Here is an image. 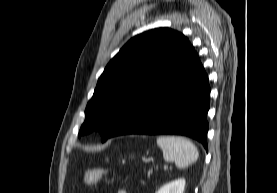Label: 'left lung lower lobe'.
I'll list each match as a JSON object with an SVG mask.
<instances>
[{
	"mask_svg": "<svg viewBox=\"0 0 277 193\" xmlns=\"http://www.w3.org/2000/svg\"><path fill=\"white\" fill-rule=\"evenodd\" d=\"M208 76L194 51L167 80L143 98L109 138L126 134H175L207 145Z\"/></svg>",
	"mask_w": 277,
	"mask_h": 193,
	"instance_id": "0a47b994",
	"label": "left lung lower lobe"
}]
</instances>
